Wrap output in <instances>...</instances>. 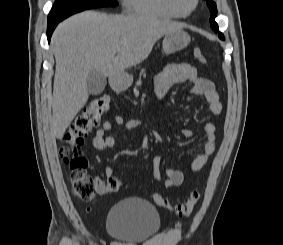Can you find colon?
<instances>
[{"instance_id":"obj_1","label":"colon","mask_w":283,"mask_h":245,"mask_svg":"<svg viewBox=\"0 0 283 245\" xmlns=\"http://www.w3.org/2000/svg\"><path fill=\"white\" fill-rule=\"evenodd\" d=\"M193 55L200 63H207V59L200 49L195 48ZM109 108V97L101 96L93 99L75 116L63 136L65 145L60 149V154L69 170L71 190L74 196L83 202L92 201L97 190L95 180L86 171L88 161L80 148L84 142V138L92 129L99 125L102 116ZM120 186L121 180L119 178L114 176L109 178L106 183L105 194L115 193L119 190ZM199 199L200 193L198 191H192L187 201L172 206L162 195L157 193L153 195L155 204L173 211L178 217L189 216Z\"/></svg>"}]
</instances>
